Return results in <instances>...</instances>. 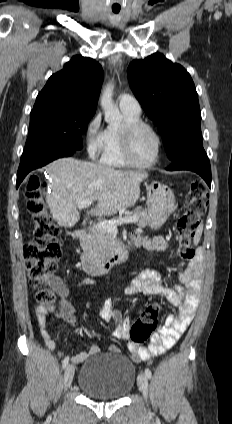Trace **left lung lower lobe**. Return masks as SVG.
<instances>
[{"instance_id": "left-lung-lower-lobe-1", "label": "left lung lower lobe", "mask_w": 232, "mask_h": 424, "mask_svg": "<svg viewBox=\"0 0 232 424\" xmlns=\"http://www.w3.org/2000/svg\"><path fill=\"white\" fill-rule=\"evenodd\" d=\"M167 170H190L199 174L211 187V167L203 148L202 138L188 143L176 156Z\"/></svg>"}]
</instances>
